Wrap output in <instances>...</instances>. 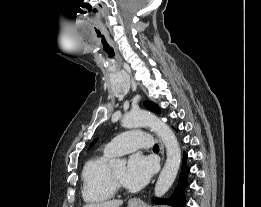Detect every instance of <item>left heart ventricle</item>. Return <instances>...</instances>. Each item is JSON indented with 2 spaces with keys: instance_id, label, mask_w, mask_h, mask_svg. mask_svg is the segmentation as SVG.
I'll use <instances>...</instances> for the list:
<instances>
[{
  "instance_id": "left-heart-ventricle-1",
  "label": "left heart ventricle",
  "mask_w": 261,
  "mask_h": 207,
  "mask_svg": "<svg viewBox=\"0 0 261 207\" xmlns=\"http://www.w3.org/2000/svg\"><path fill=\"white\" fill-rule=\"evenodd\" d=\"M112 170H113L115 177L124 185V175H125L126 167L117 166V167H114Z\"/></svg>"
}]
</instances>
